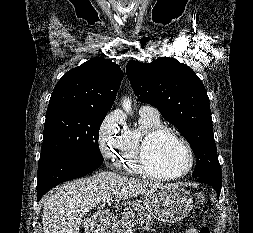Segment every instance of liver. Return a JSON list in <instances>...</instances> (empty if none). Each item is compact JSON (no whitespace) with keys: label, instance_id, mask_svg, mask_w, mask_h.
<instances>
[{"label":"liver","instance_id":"liver-1","mask_svg":"<svg viewBox=\"0 0 253 233\" xmlns=\"http://www.w3.org/2000/svg\"><path fill=\"white\" fill-rule=\"evenodd\" d=\"M165 185L114 172H101L65 183L52 190L44 201L43 232L79 233L83 217L107 196L127 200Z\"/></svg>","mask_w":253,"mask_h":233}]
</instances>
